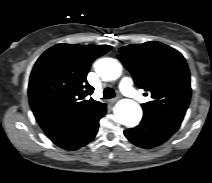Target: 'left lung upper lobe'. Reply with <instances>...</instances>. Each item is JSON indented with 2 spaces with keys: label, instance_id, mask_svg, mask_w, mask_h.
I'll use <instances>...</instances> for the list:
<instances>
[{
  "label": "left lung upper lobe",
  "instance_id": "1",
  "mask_svg": "<svg viewBox=\"0 0 212 183\" xmlns=\"http://www.w3.org/2000/svg\"><path fill=\"white\" fill-rule=\"evenodd\" d=\"M118 58L139 88L152 100L142 104L144 115L181 124L190 101V74L184 57L156 41L119 49ZM147 95V94H145Z\"/></svg>",
  "mask_w": 212,
  "mask_h": 183
}]
</instances>
